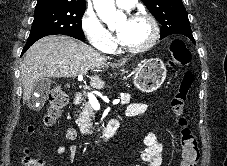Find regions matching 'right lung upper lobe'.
Listing matches in <instances>:
<instances>
[{
	"label": "right lung upper lobe",
	"mask_w": 227,
	"mask_h": 166,
	"mask_svg": "<svg viewBox=\"0 0 227 166\" xmlns=\"http://www.w3.org/2000/svg\"><path fill=\"white\" fill-rule=\"evenodd\" d=\"M42 5H70L77 7H86L85 0H38L36 6Z\"/></svg>",
	"instance_id": "cb5924a9"
}]
</instances>
